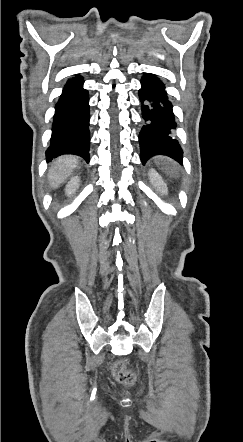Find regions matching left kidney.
I'll use <instances>...</instances> for the list:
<instances>
[{"instance_id":"1","label":"left kidney","mask_w":243,"mask_h":442,"mask_svg":"<svg viewBox=\"0 0 243 442\" xmlns=\"http://www.w3.org/2000/svg\"><path fill=\"white\" fill-rule=\"evenodd\" d=\"M149 177H150L151 183L154 184V186H156L159 191H161L162 193H167L166 185L164 184L161 177L158 175V173L154 169L149 170Z\"/></svg>"}]
</instances>
